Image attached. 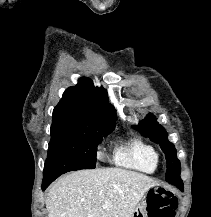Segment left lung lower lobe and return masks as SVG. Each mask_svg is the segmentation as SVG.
<instances>
[{
    "mask_svg": "<svg viewBox=\"0 0 211 217\" xmlns=\"http://www.w3.org/2000/svg\"><path fill=\"white\" fill-rule=\"evenodd\" d=\"M178 188H179L181 191H183V186H179Z\"/></svg>",
    "mask_w": 211,
    "mask_h": 217,
    "instance_id": "0a47b994",
    "label": "left lung lower lobe"
}]
</instances>
